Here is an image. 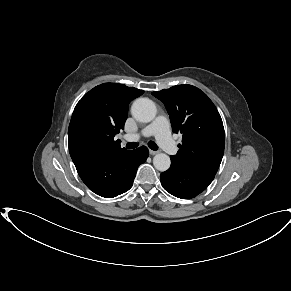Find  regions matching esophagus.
<instances>
[{"instance_id": "1", "label": "esophagus", "mask_w": 291, "mask_h": 291, "mask_svg": "<svg viewBox=\"0 0 291 291\" xmlns=\"http://www.w3.org/2000/svg\"><path fill=\"white\" fill-rule=\"evenodd\" d=\"M149 153H150L151 155H155V154H157V153H158V151L149 150Z\"/></svg>"}]
</instances>
